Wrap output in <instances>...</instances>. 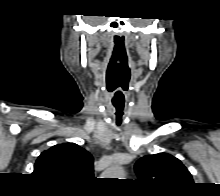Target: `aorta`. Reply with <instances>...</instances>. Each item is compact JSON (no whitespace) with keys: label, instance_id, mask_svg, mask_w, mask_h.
<instances>
[{"label":"aorta","instance_id":"762f6f07","mask_svg":"<svg viewBox=\"0 0 220 196\" xmlns=\"http://www.w3.org/2000/svg\"><path fill=\"white\" fill-rule=\"evenodd\" d=\"M103 176H105V178L123 179L122 177H124V170L121 166H112L104 172Z\"/></svg>","mask_w":220,"mask_h":196}]
</instances>
